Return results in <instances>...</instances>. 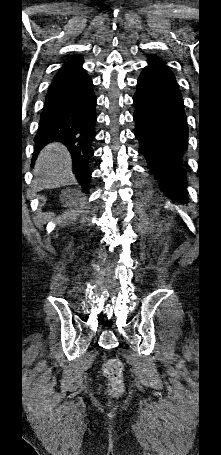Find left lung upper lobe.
<instances>
[{
	"label": "left lung upper lobe",
	"mask_w": 221,
	"mask_h": 455,
	"mask_svg": "<svg viewBox=\"0 0 221 455\" xmlns=\"http://www.w3.org/2000/svg\"><path fill=\"white\" fill-rule=\"evenodd\" d=\"M148 63H151V64H153V63H163V61H162V59L159 58V57H156V56H154V55H150V56L148 57Z\"/></svg>",
	"instance_id": "5c2ea615"
}]
</instances>
